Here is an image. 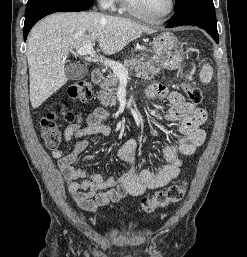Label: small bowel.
<instances>
[{"instance_id":"1","label":"small bowel","mask_w":247,"mask_h":257,"mask_svg":"<svg viewBox=\"0 0 247 257\" xmlns=\"http://www.w3.org/2000/svg\"><path fill=\"white\" fill-rule=\"evenodd\" d=\"M148 100L155 98L166 99L171 107L164 114V120L178 123L177 131H168L170 143L162 149L166 164L159 170H143L135 168L137 141L129 139L117 151V157L122 162L130 164V168L121 177H104L99 173H89L75 167L79 155L90 145L89 140L75 144L67 153L65 149H54L51 156L57 161L59 170L67 182V188L78 206L86 211L94 212L100 206L118 202L123 197L140 196L147 190L164 187L178 177L183 164V158L191 156L196 149L203 145L206 134L200 126L205 122L207 113L204 109L188 102L176 91H169L159 83L150 84L145 89ZM109 113L106 109L98 108L89 114L86 125L71 124L64 130L66 142L73 138L110 135V129L105 125ZM86 156L84 160H92Z\"/></svg>"}]
</instances>
